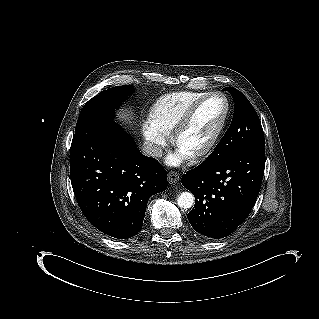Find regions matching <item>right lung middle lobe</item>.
<instances>
[{"instance_id": "obj_1", "label": "right lung middle lobe", "mask_w": 319, "mask_h": 319, "mask_svg": "<svg viewBox=\"0 0 319 319\" xmlns=\"http://www.w3.org/2000/svg\"><path fill=\"white\" fill-rule=\"evenodd\" d=\"M132 85H123L101 91L90 99L82 108L79 115L75 134L86 129L113 123L114 109L133 92Z\"/></svg>"}]
</instances>
